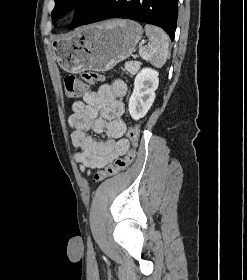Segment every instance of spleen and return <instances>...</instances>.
I'll use <instances>...</instances> for the list:
<instances>
[{"mask_svg":"<svg viewBox=\"0 0 247 280\" xmlns=\"http://www.w3.org/2000/svg\"><path fill=\"white\" fill-rule=\"evenodd\" d=\"M145 31L150 41L139 49V55L155 67H162L169 55L168 36L162 29L153 25H145Z\"/></svg>","mask_w":247,"mask_h":280,"instance_id":"spleen-1","label":"spleen"}]
</instances>
